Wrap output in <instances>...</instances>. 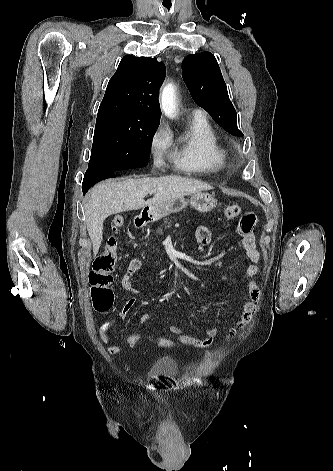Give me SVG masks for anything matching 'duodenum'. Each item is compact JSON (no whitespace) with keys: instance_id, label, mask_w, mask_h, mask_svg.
Returning a JSON list of instances; mask_svg holds the SVG:
<instances>
[{"instance_id":"duodenum-1","label":"duodenum","mask_w":333,"mask_h":471,"mask_svg":"<svg viewBox=\"0 0 333 471\" xmlns=\"http://www.w3.org/2000/svg\"><path fill=\"white\" fill-rule=\"evenodd\" d=\"M147 221H148V215L146 212H144L136 218L135 224L137 227H141L145 225Z\"/></svg>"}]
</instances>
